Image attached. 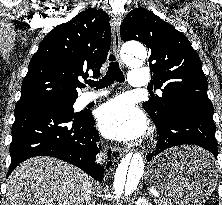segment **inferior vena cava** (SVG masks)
I'll return each instance as SVG.
<instances>
[{
	"mask_svg": "<svg viewBox=\"0 0 222 205\" xmlns=\"http://www.w3.org/2000/svg\"><path fill=\"white\" fill-rule=\"evenodd\" d=\"M97 162L99 163H104L105 162V156L104 155H99L97 157ZM83 198L85 201H88L90 198V184L88 185V187L85 189L84 194H83Z\"/></svg>",
	"mask_w": 222,
	"mask_h": 205,
	"instance_id": "inferior-vena-cava-1",
	"label": "inferior vena cava"
}]
</instances>
